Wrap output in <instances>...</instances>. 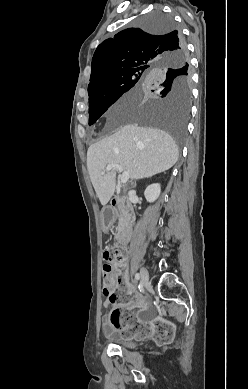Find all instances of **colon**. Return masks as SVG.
<instances>
[{
    "instance_id": "1",
    "label": "colon",
    "mask_w": 248,
    "mask_h": 389,
    "mask_svg": "<svg viewBox=\"0 0 248 389\" xmlns=\"http://www.w3.org/2000/svg\"><path fill=\"white\" fill-rule=\"evenodd\" d=\"M105 263L103 265L104 294L112 303H119L110 315V323L115 328L122 331L125 338L144 337L146 333H155L159 339L156 342L157 347H166L167 340L173 336V324L171 322H155L151 326L150 322H136L138 316V307L129 305V303H138V296H128L125 293L128 289L136 291V284L128 282L125 286L124 281V261L125 252L119 246H114L104 252ZM164 317L168 316L167 312L163 313Z\"/></svg>"
}]
</instances>
